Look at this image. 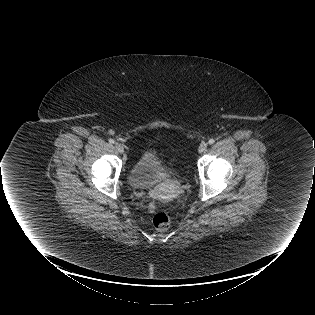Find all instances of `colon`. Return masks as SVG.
Masks as SVG:
<instances>
[{
  "label": "colon",
  "mask_w": 315,
  "mask_h": 315,
  "mask_svg": "<svg viewBox=\"0 0 315 315\" xmlns=\"http://www.w3.org/2000/svg\"><path fill=\"white\" fill-rule=\"evenodd\" d=\"M152 223L159 231H166L171 224L169 216L164 212H156L152 216Z\"/></svg>",
  "instance_id": "5ec220e1"
}]
</instances>
